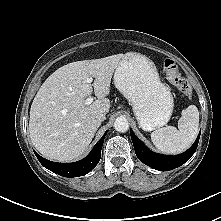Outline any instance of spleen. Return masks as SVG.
<instances>
[{"instance_id": "3e777b00", "label": "spleen", "mask_w": 221, "mask_h": 221, "mask_svg": "<svg viewBox=\"0 0 221 221\" xmlns=\"http://www.w3.org/2000/svg\"><path fill=\"white\" fill-rule=\"evenodd\" d=\"M199 127V111L195 105L182 110L178 120V129L166 126L151 133L155 147L167 154H177L188 149L194 142Z\"/></svg>"}]
</instances>
